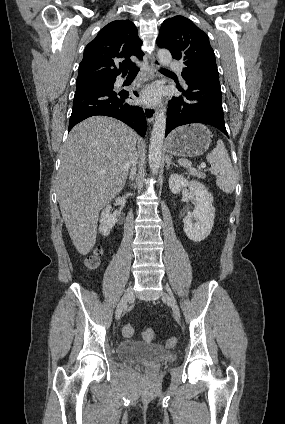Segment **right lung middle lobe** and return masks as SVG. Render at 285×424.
Segmentation results:
<instances>
[{
  "label": "right lung middle lobe",
  "instance_id": "obj_1",
  "mask_svg": "<svg viewBox=\"0 0 285 424\" xmlns=\"http://www.w3.org/2000/svg\"><path fill=\"white\" fill-rule=\"evenodd\" d=\"M115 81H100V82H90L84 84H76V89H82L87 87H114Z\"/></svg>",
  "mask_w": 285,
  "mask_h": 424
}]
</instances>
